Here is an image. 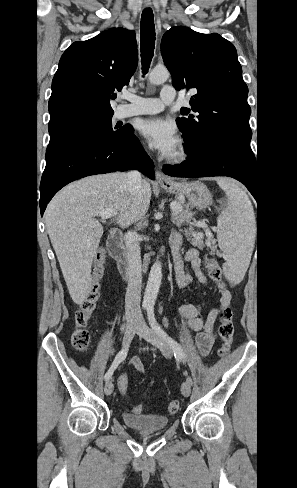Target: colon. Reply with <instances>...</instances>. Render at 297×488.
<instances>
[{"label": "colon", "mask_w": 297, "mask_h": 488, "mask_svg": "<svg viewBox=\"0 0 297 488\" xmlns=\"http://www.w3.org/2000/svg\"><path fill=\"white\" fill-rule=\"evenodd\" d=\"M105 260L106 250L104 248H99L96 252L94 260L93 281L85 299L75 313L76 329L72 335V345L74 349L78 352L85 351L89 344L90 337L88 331L86 330V326L96 308L97 301L100 297V283L104 274ZM204 265L209 277L213 281H215L220 288H223L224 284L222 282V273L218 261L211 255H206ZM233 335L234 327L232 323V312L231 309L228 307L224 309L220 314L219 336L222 342L221 348L219 350L220 356L224 357L228 354ZM128 384V376L126 374H121L119 376V382L117 383L119 396H128ZM179 408L180 405L178 401H171L167 406V411L169 414H175L179 410ZM142 410V405H136L132 408V412L135 414L141 413Z\"/></svg>", "instance_id": "colon-1"}]
</instances>
